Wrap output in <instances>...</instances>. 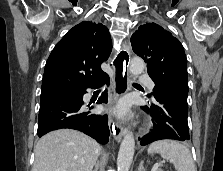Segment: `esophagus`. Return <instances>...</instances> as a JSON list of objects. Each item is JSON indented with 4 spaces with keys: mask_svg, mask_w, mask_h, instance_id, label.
I'll return each instance as SVG.
<instances>
[{
    "mask_svg": "<svg viewBox=\"0 0 223 171\" xmlns=\"http://www.w3.org/2000/svg\"><path fill=\"white\" fill-rule=\"evenodd\" d=\"M129 62L130 49L127 45H124L121 51H117V55H115L112 62L114 70V99L110 102V106H113L115 100L127 93L129 90ZM109 123L111 125V120ZM112 132L115 139L120 142L126 133V129L121 121H116L112 122Z\"/></svg>",
    "mask_w": 223,
    "mask_h": 171,
    "instance_id": "obj_1",
    "label": "esophagus"
}]
</instances>
